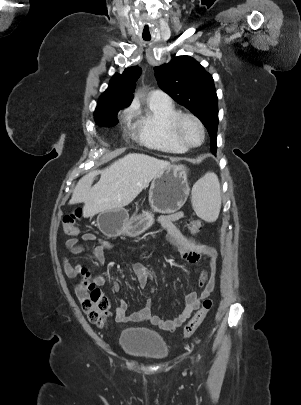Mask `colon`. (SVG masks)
Wrapping results in <instances>:
<instances>
[{
    "mask_svg": "<svg viewBox=\"0 0 301 405\" xmlns=\"http://www.w3.org/2000/svg\"><path fill=\"white\" fill-rule=\"evenodd\" d=\"M82 212L80 209L67 213L62 218V227L66 234L77 235L79 233L77 221L80 219ZM187 227L192 234L199 233L204 223L199 219L189 220ZM82 280L77 285L80 293V300L83 311L90 322L102 326L109 316V301L97 285L90 280V274L83 269ZM213 302L210 298H205L200 309L194 314L186 324L183 331L184 338L190 337L201 325L208 312L211 310Z\"/></svg>",
    "mask_w": 301,
    "mask_h": 405,
    "instance_id": "obj_1",
    "label": "colon"
}]
</instances>
